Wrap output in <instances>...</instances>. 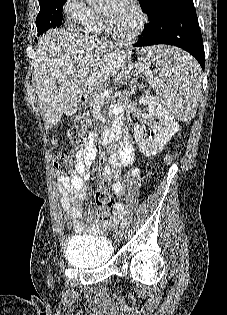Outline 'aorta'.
<instances>
[{
    "mask_svg": "<svg viewBox=\"0 0 227 315\" xmlns=\"http://www.w3.org/2000/svg\"><path fill=\"white\" fill-rule=\"evenodd\" d=\"M86 2L90 5L102 4L105 0H86Z\"/></svg>",
    "mask_w": 227,
    "mask_h": 315,
    "instance_id": "1",
    "label": "aorta"
}]
</instances>
